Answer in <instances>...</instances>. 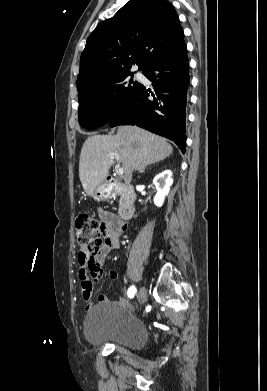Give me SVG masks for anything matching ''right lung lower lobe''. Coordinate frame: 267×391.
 I'll use <instances>...</instances> for the list:
<instances>
[{
  "label": "right lung lower lobe",
  "mask_w": 267,
  "mask_h": 391,
  "mask_svg": "<svg viewBox=\"0 0 267 391\" xmlns=\"http://www.w3.org/2000/svg\"><path fill=\"white\" fill-rule=\"evenodd\" d=\"M143 74L153 83L156 97L142 85L111 117L110 126L137 125L174 141L185 153V109L190 83L186 44L151 62Z\"/></svg>",
  "instance_id": "right-lung-lower-lobe-1"
}]
</instances>
